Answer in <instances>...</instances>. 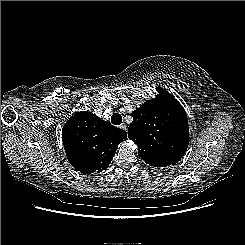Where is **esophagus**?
Masks as SVG:
<instances>
[{"label": "esophagus", "instance_id": "1", "mask_svg": "<svg viewBox=\"0 0 245 245\" xmlns=\"http://www.w3.org/2000/svg\"><path fill=\"white\" fill-rule=\"evenodd\" d=\"M120 128L127 132V125L125 123H122Z\"/></svg>", "mask_w": 245, "mask_h": 245}]
</instances>
